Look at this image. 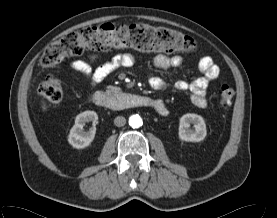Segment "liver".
I'll return each instance as SVG.
<instances>
[{
	"instance_id": "6515ba94",
	"label": "liver",
	"mask_w": 277,
	"mask_h": 218,
	"mask_svg": "<svg viewBox=\"0 0 277 218\" xmlns=\"http://www.w3.org/2000/svg\"><path fill=\"white\" fill-rule=\"evenodd\" d=\"M42 104H43V105H42V110H43V111H46L47 107H46L44 101L42 102Z\"/></svg>"
}]
</instances>
